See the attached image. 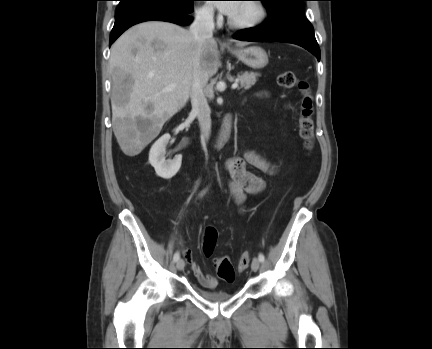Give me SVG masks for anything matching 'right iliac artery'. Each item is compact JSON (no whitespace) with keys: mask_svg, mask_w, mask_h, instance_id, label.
Returning <instances> with one entry per match:
<instances>
[{"mask_svg":"<svg viewBox=\"0 0 432 349\" xmlns=\"http://www.w3.org/2000/svg\"><path fill=\"white\" fill-rule=\"evenodd\" d=\"M179 258H180V255H179L178 252H176V253L174 254L173 260L176 262V261L179 260Z\"/></svg>","mask_w":432,"mask_h":349,"instance_id":"right-iliac-artery-1","label":"right iliac artery"}]
</instances>
